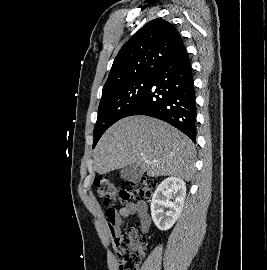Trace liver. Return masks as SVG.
Masks as SVG:
<instances>
[{"mask_svg":"<svg viewBox=\"0 0 267 270\" xmlns=\"http://www.w3.org/2000/svg\"><path fill=\"white\" fill-rule=\"evenodd\" d=\"M194 153L193 142L169 124L130 116L101 137L94 150V170L106 174L136 164L149 177L173 176L188 182L194 174Z\"/></svg>","mask_w":267,"mask_h":270,"instance_id":"obj_1","label":"liver"}]
</instances>
